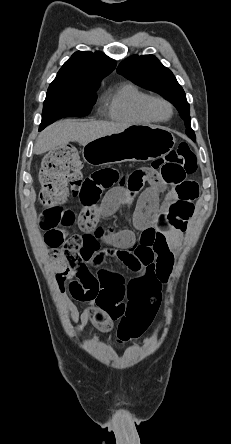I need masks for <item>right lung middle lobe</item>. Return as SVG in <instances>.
<instances>
[{"label":"right lung middle lobe","instance_id":"right-lung-middle-lobe-1","mask_svg":"<svg viewBox=\"0 0 231 444\" xmlns=\"http://www.w3.org/2000/svg\"><path fill=\"white\" fill-rule=\"evenodd\" d=\"M96 90L48 89L39 130L63 117L88 115L96 99Z\"/></svg>","mask_w":231,"mask_h":444}]
</instances>
